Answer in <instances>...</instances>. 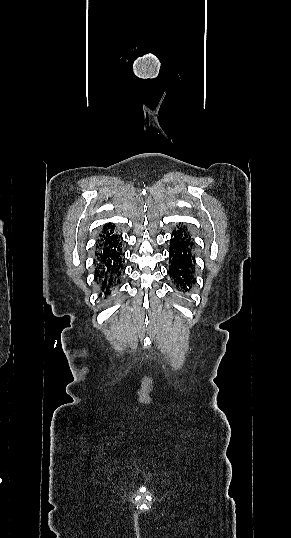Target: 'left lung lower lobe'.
<instances>
[{"label": "left lung lower lobe", "mask_w": 291, "mask_h": 538, "mask_svg": "<svg viewBox=\"0 0 291 538\" xmlns=\"http://www.w3.org/2000/svg\"><path fill=\"white\" fill-rule=\"evenodd\" d=\"M169 250L170 268L168 273L176 284V288L189 291L195 279L193 278L194 264L191 254L193 243L190 235L180 228L172 232Z\"/></svg>", "instance_id": "0a47b994"}]
</instances>
